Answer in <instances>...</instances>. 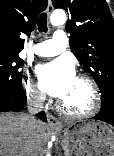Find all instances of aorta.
<instances>
[{"instance_id":"1","label":"aorta","mask_w":114,"mask_h":156,"mask_svg":"<svg viewBox=\"0 0 114 156\" xmlns=\"http://www.w3.org/2000/svg\"><path fill=\"white\" fill-rule=\"evenodd\" d=\"M66 20V13L63 10H55L51 15V24L54 26L63 25ZM47 156L50 155L48 154Z\"/></svg>"}]
</instances>
